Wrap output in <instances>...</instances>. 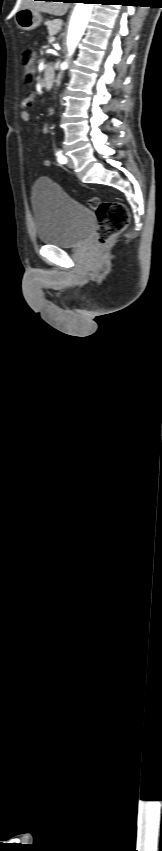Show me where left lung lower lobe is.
<instances>
[{"label": "left lung lower lobe", "instance_id": "left-lung-lower-lobe-1", "mask_svg": "<svg viewBox=\"0 0 162 851\" xmlns=\"http://www.w3.org/2000/svg\"><path fill=\"white\" fill-rule=\"evenodd\" d=\"M87 1H89V2H93L94 0H87Z\"/></svg>", "mask_w": 162, "mask_h": 851}]
</instances>
